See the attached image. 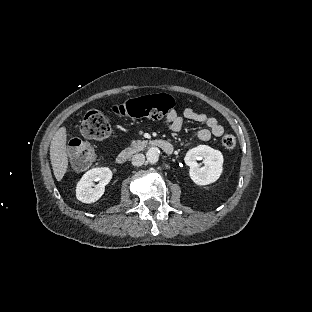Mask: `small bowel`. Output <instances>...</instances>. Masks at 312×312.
I'll use <instances>...</instances> for the list:
<instances>
[{"mask_svg":"<svg viewBox=\"0 0 312 312\" xmlns=\"http://www.w3.org/2000/svg\"><path fill=\"white\" fill-rule=\"evenodd\" d=\"M186 121L206 125V128L201 129L197 134L198 138L202 141H207L212 136L221 137L224 134V127L216 118L198 112L190 107H187L182 111L172 108L166 114L164 119L166 128L173 133L180 132Z\"/></svg>","mask_w":312,"mask_h":312,"instance_id":"c3829d8e","label":"small bowel"}]
</instances>
